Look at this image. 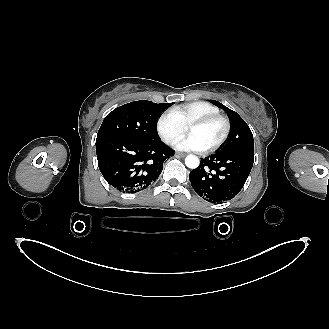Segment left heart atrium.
<instances>
[{
  "instance_id": "obj_1",
  "label": "left heart atrium",
  "mask_w": 329,
  "mask_h": 329,
  "mask_svg": "<svg viewBox=\"0 0 329 329\" xmlns=\"http://www.w3.org/2000/svg\"><path fill=\"white\" fill-rule=\"evenodd\" d=\"M175 147L178 150H184V151H203L205 150L204 145L202 142L192 134L187 135L186 137L180 139L176 144Z\"/></svg>"
}]
</instances>
